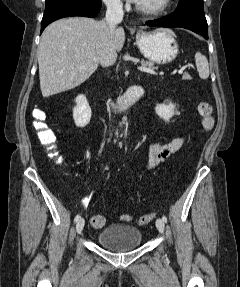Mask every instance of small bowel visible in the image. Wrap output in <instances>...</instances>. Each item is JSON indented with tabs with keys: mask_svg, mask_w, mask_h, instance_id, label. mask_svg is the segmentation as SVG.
Wrapping results in <instances>:
<instances>
[{
	"mask_svg": "<svg viewBox=\"0 0 240 287\" xmlns=\"http://www.w3.org/2000/svg\"><path fill=\"white\" fill-rule=\"evenodd\" d=\"M185 137H177L166 144L152 143L149 147V162L144 172L151 170L155 166L166 161L170 155L176 153L183 146ZM107 169V166L105 167ZM87 198L83 199L86 204Z\"/></svg>",
	"mask_w": 240,
	"mask_h": 287,
	"instance_id": "1",
	"label": "small bowel"
}]
</instances>
